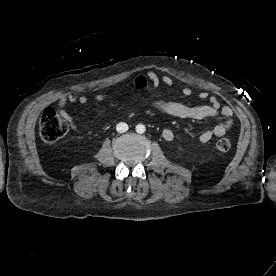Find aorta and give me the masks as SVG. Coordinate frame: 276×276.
Segmentation results:
<instances>
[{
    "mask_svg": "<svg viewBox=\"0 0 276 276\" xmlns=\"http://www.w3.org/2000/svg\"><path fill=\"white\" fill-rule=\"evenodd\" d=\"M145 131H146L145 125H143V124H138V125L136 126V132H137V133L142 134V133H144Z\"/></svg>",
    "mask_w": 276,
    "mask_h": 276,
    "instance_id": "aorta-1",
    "label": "aorta"
}]
</instances>
